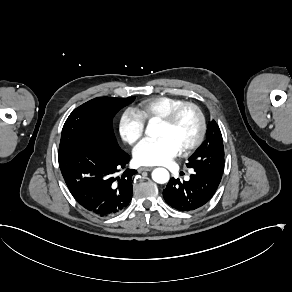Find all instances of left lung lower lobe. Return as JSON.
Listing matches in <instances>:
<instances>
[{"label":"left lung lower lobe","mask_w":292,"mask_h":292,"mask_svg":"<svg viewBox=\"0 0 292 292\" xmlns=\"http://www.w3.org/2000/svg\"><path fill=\"white\" fill-rule=\"evenodd\" d=\"M222 177L193 172L188 181L172 178L163 190L164 200L172 208L189 212L205 205L216 192Z\"/></svg>","instance_id":"1"}]
</instances>
